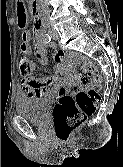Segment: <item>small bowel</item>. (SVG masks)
<instances>
[{
  "mask_svg": "<svg viewBox=\"0 0 123 167\" xmlns=\"http://www.w3.org/2000/svg\"><path fill=\"white\" fill-rule=\"evenodd\" d=\"M17 19L18 24L22 28H26L28 24L27 7L23 5V1H16ZM44 31L39 23H35L33 29L34 40V52L36 58L42 65L48 64V45L43 41ZM32 33L29 30H24L22 33L21 52L29 56L33 53V47L31 45ZM64 57L62 52L55 54L54 60L56 62V68L59 70L61 61ZM76 86V82L72 77L61 79L58 76L52 77H30L22 79L21 89L23 94L27 96L46 97L51 98L55 95L59 97L66 94L71 88Z\"/></svg>",
  "mask_w": 123,
  "mask_h": 167,
  "instance_id": "small-bowel-1",
  "label": "small bowel"
}]
</instances>
